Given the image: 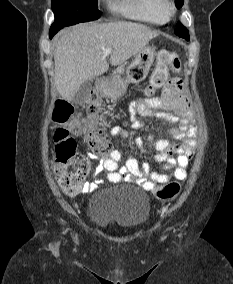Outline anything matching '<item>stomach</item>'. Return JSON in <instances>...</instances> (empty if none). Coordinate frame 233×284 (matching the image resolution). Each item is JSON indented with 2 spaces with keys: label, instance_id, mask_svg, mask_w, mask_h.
I'll return each mask as SVG.
<instances>
[{
  "label": "stomach",
  "instance_id": "1",
  "mask_svg": "<svg viewBox=\"0 0 233 284\" xmlns=\"http://www.w3.org/2000/svg\"><path fill=\"white\" fill-rule=\"evenodd\" d=\"M156 51L154 47L146 46L134 56V60L126 67V75L122 77L120 70L99 83L100 93L110 98H120L126 91L129 83L143 81L153 64Z\"/></svg>",
  "mask_w": 233,
  "mask_h": 284
}]
</instances>
